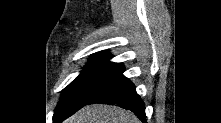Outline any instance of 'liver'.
Segmentation results:
<instances>
[{
	"instance_id": "6515ba94",
	"label": "liver",
	"mask_w": 221,
	"mask_h": 123,
	"mask_svg": "<svg viewBox=\"0 0 221 123\" xmlns=\"http://www.w3.org/2000/svg\"><path fill=\"white\" fill-rule=\"evenodd\" d=\"M65 123H140L129 111L115 106H86L64 121Z\"/></svg>"
}]
</instances>
